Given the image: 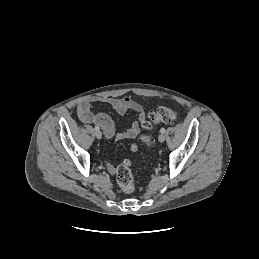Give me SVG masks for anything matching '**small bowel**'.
<instances>
[{"label":"small bowel","instance_id":"obj_1","mask_svg":"<svg viewBox=\"0 0 259 259\" xmlns=\"http://www.w3.org/2000/svg\"><path fill=\"white\" fill-rule=\"evenodd\" d=\"M93 102H101L109 104L117 113L124 114L127 111H133L137 115V119L132 122L130 127L123 132H116L112 119L105 113H94L91 110ZM77 115L83 123L96 124L100 126L104 132L106 139L116 138L118 140L134 139L140 133V124L146 120L145 111L140 103L129 98H115L109 96L91 97L84 99L77 106ZM132 151H137V146H131ZM109 173L114 174L116 167L107 163Z\"/></svg>","mask_w":259,"mask_h":259}]
</instances>
